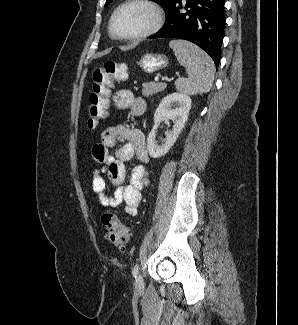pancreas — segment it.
<instances>
[{
  "instance_id": "obj_1",
  "label": "pancreas",
  "mask_w": 298,
  "mask_h": 325,
  "mask_svg": "<svg viewBox=\"0 0 298 325\" xmlns=\"http://www.w3.org/2000/svg\"><path fill=\"white\" fill-rule=\"evenodd\" d=\"M143 88L141 92L143 96H152V94H157L166 88L165 82H142Z\"/></svg>"
}]
</instances>
